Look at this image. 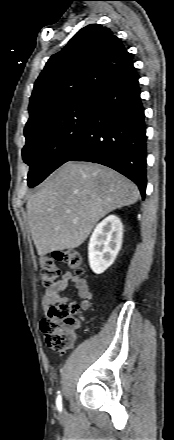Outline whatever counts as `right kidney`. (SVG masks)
<instances>
[{"mask_svg": "<svg viewBox=\"0 0 174 440\" xmlns=\"http://www.w3.org/2000/svg\"><path fill=\"white\" fill-rule=\"evenodd\" d=\"M123 225L115 215L102 220L94 229L88 246L89 265L96 274L114 262L122 245Z\"/></svg>", "mask_w": 174, "mask_h": 440, "instance_id": "obj_1", "label": "right kidney"}]
</instances>
